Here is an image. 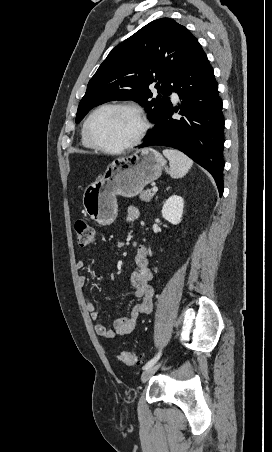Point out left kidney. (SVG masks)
Listing matches in <instances>:
<instances>
[{"instance_id": "obj_1", "label": "left kidney", "mask_w": 272, "mask_h": 452, "mask_svg": "<svg viewBox=\"0 0 272 452\" xmlns=\"http://www.w3.org/2000/svg\"><path fill=\"white\" fill-rule=\"evenodd\" d=\"M184 200L181 196L172 195L162 207V217L173 225L181 222L183 215Z\"/></svg>"}]
</instances>
